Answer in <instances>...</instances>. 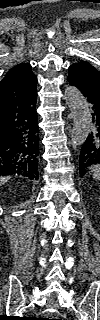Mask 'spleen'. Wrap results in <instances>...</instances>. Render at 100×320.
<instances>
[{"instance_id":"3e777b00","label":"spleen","mask_w":100,"mask_h":320,"mask_svg":"<svg viewBox=\"0 0 100 320\" xmlns=\"http://www.w3.org/2000/svg\"><path fill=\"white\" fill-rule=\"evenodd\" d=\"M90 169H91V172L93 173V178L98 180L100 178V166L93 165Z\"/></svg>"}]
</instances>
